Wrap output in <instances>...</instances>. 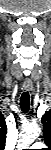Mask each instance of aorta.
Wrapping results in <instances>:
<instances>
[{
    "mask_svg": "<svg viewBox=\"0 0 51 150\" xmlns=\"http://www.w3.org/2000/svg\"><path fill=\"white\" fill-rule=\"evenodd\" d=\"M40 132V127L36 125L23 128L19 135L17 148L22 150L29 147L35 141V139L38 138Z\"/></svg>",
    "mask_w": 51,
    "mask_h": 150,
    "instance_id": "762f6f07",
    "label": "aorta"
}]
</instances>
